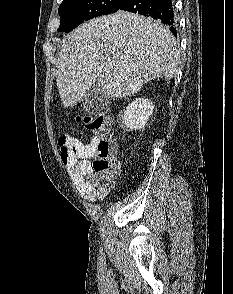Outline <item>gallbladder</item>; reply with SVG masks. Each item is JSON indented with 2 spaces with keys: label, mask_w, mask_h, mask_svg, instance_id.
<instances>
[{
  "label": "gallbladder",
  "mask_w": 233,
  "mask_h": 294,
  "mask_svg": "<svg viewBox=\"0 0 233 294\" xmlns=\"http://www.w3.org/2000/svg\"><path fill=\"white\" fill-rule=\"evenodd\" d=\"M109 98L103 93L102 87L93 85L82 99L83 110L90 115H99L108 108Z\"/></svg>",
  "instance_id": "obj_1"
}]
</instances>
